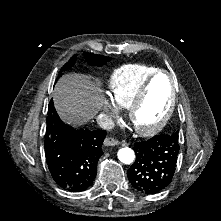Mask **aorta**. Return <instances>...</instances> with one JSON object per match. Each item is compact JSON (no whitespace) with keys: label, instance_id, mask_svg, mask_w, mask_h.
I'll return each mask as SVG.
<instances>
[{"label":"aorta","instance_id":"aorta-1","mask_svg":"<svg viewBox=\"0 0 221 221\" xmlns=\"http://www.w3.org/2000/svg\"><path fill=\"white\" fill-rule=\"evenodd\" d=\"M118 159L124 164H131L135 159L134 151L129 147L121 148L118 151Z\"/></svg>","mask_w":221,"mask_h":221}]
</instances>
